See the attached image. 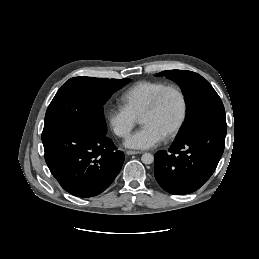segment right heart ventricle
<instances>
[{"label": "right heart ventricle", "instance_id": "obj_1", "mask_svg": "<svg viewBox=\"0 0 259 259\" xmlns=\"http://www.w3.org/2000/svg\"><path fill=\"white\" fill-rule=\"evenodd\" d=\"M165 86H167V83L163 81L138 82L123 94V105L136 118H139L157 93Z\"/></svg>", "mask_w": 259, "mask_h": 259}]
</instances>
